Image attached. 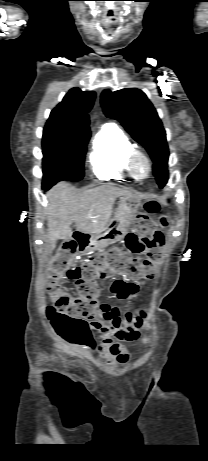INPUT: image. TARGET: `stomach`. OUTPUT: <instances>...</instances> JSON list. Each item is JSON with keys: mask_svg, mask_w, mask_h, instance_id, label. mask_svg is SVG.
Returning <instances> with one entry per match:
<instances>
[{"mask_svg": "<svg viewBox=\"0 0 208 461\" xmlns=\"http://www.w3.org/2000/svg\"><path fill=\"white\" fill-rule=\"evenodd\" d=\"M140 207L134 196H122L114 218L99 233L92 235L84 252L102 250L108 245L125 238L129 227L134 223L135 215Z\"/></svg>", "mask_w": 208, "mask_h": 461, "instance_id": "stomach-1", "label": "stomach"}]
</instances>
